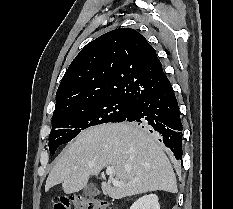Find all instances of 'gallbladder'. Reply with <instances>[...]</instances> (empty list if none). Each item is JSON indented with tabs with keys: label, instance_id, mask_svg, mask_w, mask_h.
<instances>
[{
	"label": "gallbladder",
	"instance_id": "gallbladder-1",
	"mask_svg": "<svg viewBox=\"0 0 233 209\" xmlns=\"http://www.w3.org/2000/svg\"><path fill=\"white\" fill-rule=\"evenodd\" d=\"M99 191L96 190V188L94 186H88L84 189V192L83 194L86 195V196H91V195H95V194H98Z\"/></svg>",
	"mask_w": 233,
	"mask_h": 209
}]
</instances>
